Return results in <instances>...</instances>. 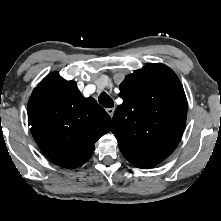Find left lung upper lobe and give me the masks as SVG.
<instances>
[{"label": "left lung upper lobe", "instance_id": "obj_1", "mask_svg": "<svg viewBox=\"0 0 221 221\" xmlns=\"http://www.w3.org/2000/svg\"><path fill=\"white\" fill-rule=\"evenodd\" d=\"M123 103L114 113L112 133L122 154L159 164L176 148L187 116V100L177 75L164 64H146L120 84Z\"/></svg>", "mask_w": 221, "mask_h": 221}]
</instances>
